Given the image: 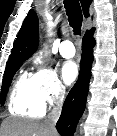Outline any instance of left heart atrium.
<instances>
[{"mask_svg":"<svg viewBox=\"0 0 117 136\" xmlns=\"http://www.w3.org/2000/svg\"><path fill=\"white\" fill-rule=\"evenodd\" d=\"M79 74L78 66L73 61H66L61 68V75L66 84L73 83Z\"/></svg>","mask_w":117,"mask_h":136,"instance_id":"obj_1","label":"left heart atrium"}]
</instances>
